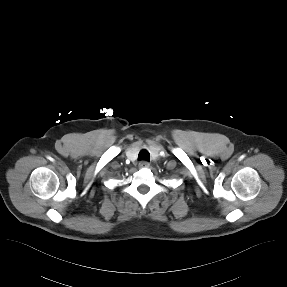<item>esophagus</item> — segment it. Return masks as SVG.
Masks as SVG:
<instances>
[{
    "label": "esophagus",
    "mask_w": 287,
    "mask_h": 287,
    "mask_svg": "<svg viewBox=\"0 0 287 287\" xmlns=\"http://www.w3.org/2000/svg\"><path fill=\"white\" fill-rule=\"evenodd\" d=\"M150 166V163L146 160H142L139 162V167L140 168H143V167H149Z\"/></svg>",
    "instance_id": "obj_1"
}]
</instances>
